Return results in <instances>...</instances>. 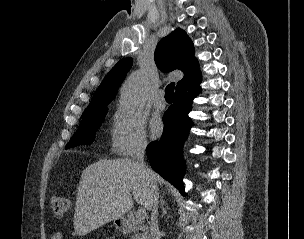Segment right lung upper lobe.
<instances>
[{"label": "right lung upper lobe", "instance_id": "1", "mask_svg": "<svg viewBox=\"0 0 304 239\" xmlns=\"http://www.w3.org/2000/svg\"><path fill=\"white\" fill-rule=\"evenodd\" d=\"M194 52L191 39L180 28L161 39L156 47L154 59L159 69L165 72L179 69L184 73L183 79L177 82L176 89L201 74ZM131 65L132 59L124 58L112 68L96 90L84 113L108 105L114 99Z\"/></svg>", "mask_w": 304, "mask_h": 239}]
</instances>
